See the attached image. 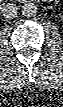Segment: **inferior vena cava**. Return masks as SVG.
<instances>
[{
  "mask_svg": "<svg viewBox=\"0 0 63 107\" xmlns=\"http://www.w3.org/2000/svg\"><path fill=\"white\" fill-rule=\"evenodd\" d=\"M18 7L15 4L8 3L2 7V13L5 18L11 19L17 16Z\"/></svg>",
  "mask_w": 63,
  "mask_h": 107,
  "instance_id": "602c4592",
  "label": "inferior vena cava"
}]
</instances>
